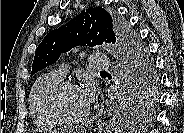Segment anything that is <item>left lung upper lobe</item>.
<instances>
[{
	"mask_svg": "<svg viewBox=\"0 0 184 133\" xmlns=\"http://www.w3.org/2000/svg\"><path fill=\"white\" fill-rule=\"evenodd\" d=\"M104 42L117 44L124 72L120 106L124 113H132L152 98L150 91L156 82L153 62L128 24L104 8L82 11L49 32L37 47L32 74L54 64L61 53L78 45L96 46Z\"/></svg>",
	"mask_w": 184,
	"mask_h": 133,
	"instance_id": "obj_1",
	"label": "left lung upper lobe"
}]
</instances>
